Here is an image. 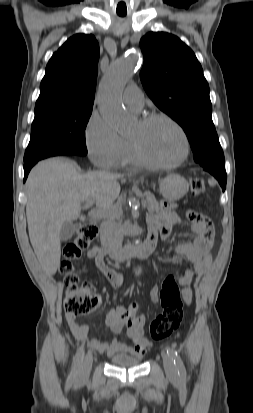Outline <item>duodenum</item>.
<instances>
[{
	"label": "duodenum",
	"mask_w": 253,
	"mask_h": 413,
	"mask_svg": "<svg viewBox=\"0 0 253 413\" xmlns=\"http://www.w3.org/2000/svg\"><path fill=\"white\" fill-rule=\"evenodd\" d=\"M156 245V235L149 233L147 239L142 244L128 245L121 250H114L109 248L103 239L102 245L99 249L103 256L109 255L116 261H124L131 257L146 258L155 251Z\"/></svg>",
	"instance_id": "410a0bca"
}]
</instances>
